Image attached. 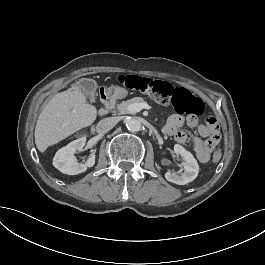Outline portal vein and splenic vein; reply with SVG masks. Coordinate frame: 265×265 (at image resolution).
<instances>
[{
  "label": "portal vein and splenic vein",
  "mask_w": 265,
  "mask_h": 265,
  "mask_svg": "<svg viewBox=\"0 0 265 265\" xmlns=\"http://www.w3.org/2000/svg\"><path fill=\"white\" fill-rule=\"evenodd\" d=\"M128 108L131 113H137L140 112L142 109H150V106L147 103H135L129 105Z\"/></svg>",
  "instance_id": "portal-vein-and-splenic-vein-1"
}]
</instances>
